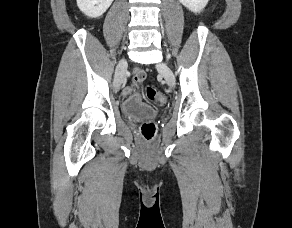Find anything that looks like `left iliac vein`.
<instances>
[{
	"label": "left iliac vein",
	"instance_id": "4c4485c4",
	"mask_svg": "<svg viewBox=\"0 0 292 228\" xmlns=\"http://www.w3.org/2000/svg\"><path fill=\"white\" fill-rule=\"evenodd\" d=\"M157 69H158L159 73L164 77L167 84L170 87H174L175 86V76H174L173 72L170 70V68L165 63H159L157 65Z\"/></svg>",
	"mask_w": 292,
	"mask_h": 228
}]
</instances>
